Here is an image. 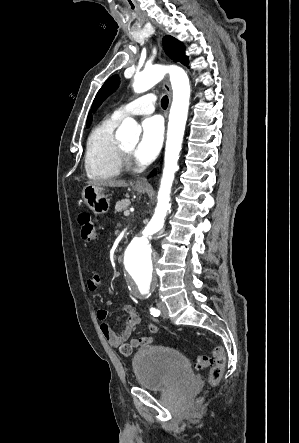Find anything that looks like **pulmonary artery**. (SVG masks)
Segmentation results:
<instances>
[{
    "label": "pulmonary artery",
    "mask_w": 299,
    "mask_h": 443,
    "mask_svg": "<svg viewBox=\"0 0 299 443\" xmlns=\"http://www.w3.org/2000/svg\"><path fill=\"white\" fill-rule=\"evenodd\" d=\"M155 102V95L153 93H148L116 109L113 112L112 117L122 119L128 115L150 114L155 109Z\"/></svg>",
    "instance_id": "pulmonary-artery-1"
}]
</instances>
